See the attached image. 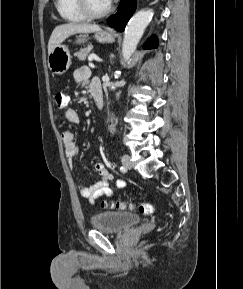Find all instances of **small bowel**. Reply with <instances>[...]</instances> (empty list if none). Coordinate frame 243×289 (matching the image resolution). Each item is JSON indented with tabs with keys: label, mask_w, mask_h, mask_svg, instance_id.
Wrapping results in <instances>:
<instances>
[{
	"label": "small bowel",
	"mask_w": 243,
	"mask_h": 289,
	"mask_svg": "<svg viewBox=\"0 0 243 289\" xmlns=\"http://www.w3.org/2000/svg\"><path fill=\"white\" fill-rule=\"evenodd\" d=\"M73 78L76 83L88 84L91 92L94 88L100 87V83L97 79H90V70L87 67H79L73 73ZM65 118L73 124L79 122L78 113L68 108L65 111ZM62 141L65 147V154L70 163L79 155L80 148L76 142L75 135L72 131H64L62 133ZM94 168L99 176L98 180L91 184H78V190L80 194L87 198L91 203L96 198L106 195L108 197L113 196V192L110 188V183L114 182L117 188H126L127 183L122 179H115V177L108 171L104 163L96 162Z\"/></svg>",
	"instance_id": "small-bowel-1"
}]
</instances>
